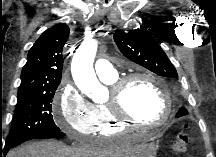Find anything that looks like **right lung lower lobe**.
<instances>
[{"mask_svg": "<svg viewBox=\"0 0 216 157\" xmlns=\"http://www.w3.org/2000/svg\"><path fill=\"white\" fill-rule=\"evenodd\" d=\"M65 134L58 131V132H53V133H48V134H42V135H37L35 137H32L31 139H49V138H58V137H63ZM29 139V140H31ZM15 146V145H13ZM12 145L5 146L3 150L1 149L0 151V157L3 155H6V153L13 147Z\"/></svg>", "mask_w": 216, "mask_h": 157, "instance_id": "1", "label": "right lung lower lobe"}]
</instances>
